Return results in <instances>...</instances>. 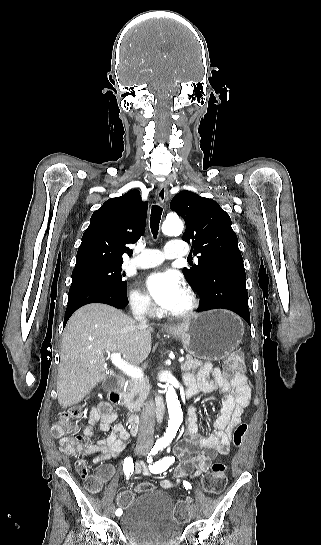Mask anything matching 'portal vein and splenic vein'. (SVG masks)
<instances>
[{
    "instance_id": "18ae733b",
    "label": "portal vein and splenic vein",
    "mask_w": 321,
    "mask_h": 545,
    "mask_svg": "<svg viewBox=\"0 0 321 545\" xmlns=\"http://www.w3.org/2000/svg\"><path fill=\"white\" fill-rule=\"evenodd\" d=\"M108 357L111 363H113V365L117 367V369L123 371V373H125V375H128V377H131V379H142L143 371H141V369H138V367H134V365H129V363L123 361V359H121V355H118V353H111V355L110 353H108ZM178 360V364L184 362V359H182V357H178Z\"/></svg>"
}]
</instances>
